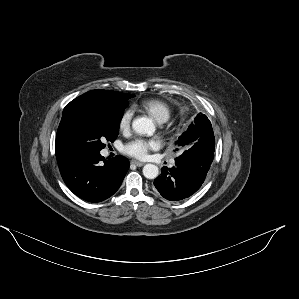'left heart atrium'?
I'll return each mask as SVG.
<instances>
[{"instance_id":"left-heart-atrium-1","label":"left heart atrium","mask_w":299,"mask_h":299,"mask_svg":"<svg viewBox=\"0 0 299 299\" xmlns=\"http://www.w3.org/2000/svg\"><path fill=\"white\" fill-rule=\"evenodd\" d=\"M158 146L155 140L136 139L126 144L123 148L124 152L135 158H144L149 150Z\"/></svg>"}]
</instances>
